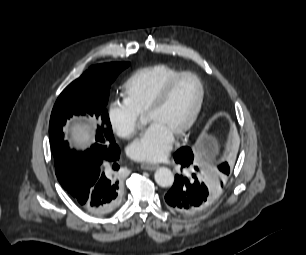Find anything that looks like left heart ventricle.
<instances>
[{
  "label": "left heart ventricle",
  "instance_id": "left-heart-ventricle-1",
  "mask_svg": "<svg viewBox=\"0 0 306 255\" xmlns=\"http://www.w3.org/2000/svg\"><path fill=\"white\" fill-rule=\"evenodd\" d=\"M199 94L198 82L193 77H185L175 85L165 103L147 116V120L159 123L175 135L192 114Z\"/></svg>",
  "mask_w": 306,
  "mask_h": 255
}]
</instances>
